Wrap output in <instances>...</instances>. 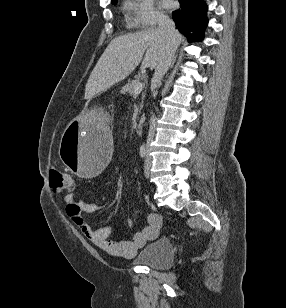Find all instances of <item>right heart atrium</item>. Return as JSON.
Returning <instances> with one entry per match:
<instances>
[{
	"label": "right heart atrium",
	"instance_id": "1",
	"mask_svg": "<svg viewBox=\"0 0 286 308\" xmlns=\"http://www.w3.org/2000/svg\"><path fill=\"white\" fill-rule=\"evenodd\" d=\"M125 9L130 22L140 29H149L166 19L165 14L159 10L154 0H126Z\"/></svg>",
	"mask_w": 286,
	"mask_h": 308
}]
</instances>
